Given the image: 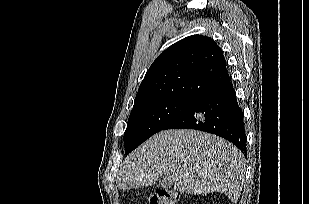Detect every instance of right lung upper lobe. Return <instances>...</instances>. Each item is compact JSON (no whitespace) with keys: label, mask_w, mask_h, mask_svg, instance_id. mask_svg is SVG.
<instances>
[{"label":"right lung upper lobe","mask_w":309,"mask_h":204,"mask_svg":"<svg viewBox=\"0 0 309 204\" xmlns=\"http://www.w3.org/2000/svg\"><path fill=\"white\" fill-rule=\"evenodd\" d=\"M229 85L221 48L209 37L193 35L157 57L140 84L134 105L162 98L200 101Z\"/></svg>","instance_id":"obj_1"}]
</instances>
